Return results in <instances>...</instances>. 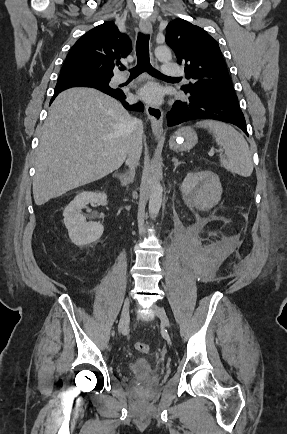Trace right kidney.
I'll use <instances>...</instances> for the list:
<instances>
[{"mask_svg":"<svg viewBox=\"0 0 287 434\" xmlns=\"http://www.w3.org/2000/svg\"><path fill=\"white\" fill-rule=\"evenodd\" d=\"M88 204L107 205V195L97 192H82L66 206L63 212L64 224L69 237L77 246H83L98 240L104 231L99 222H87L81 214Z\"/></svg>","mask_w":287,"mask_h":434,"instance_id":"1","label":"right kidney"}]
</instances>
